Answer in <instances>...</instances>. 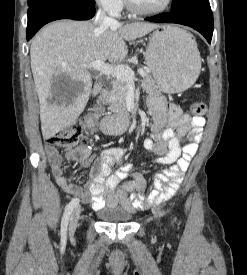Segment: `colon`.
Here are the masks:
<instances>
[{
    "instance_id": "colon-1",
    "label": "colon",
    "mask_w": 247,
    "mask_h": 275,
    "mask_svg": "<svg viewBox=\"0 0 247 275\" xmlns=\"http://www.w3.org/2000/svg\"><path fill=\"white\" fill-rule=\"evenodd\" d=\"M205 104L203 102H194L191 105V111L195 115H202L205 112ZM47 144L53 146H60L71 149L80 143L85 142L82 126L79 123L71 124L65 129L50 136L46 140ZM68 157L74 160H78L79 153L76 150H70Z\"/></svg>"
}]
</instances>
